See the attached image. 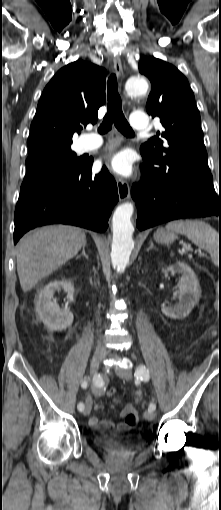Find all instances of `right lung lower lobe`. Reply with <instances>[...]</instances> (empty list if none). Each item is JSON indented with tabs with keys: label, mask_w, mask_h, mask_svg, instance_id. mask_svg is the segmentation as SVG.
<instances>
[{
	"label": "right lung lower lobe",
	"mask_w": 221,
	"mask_h": 510,
	"mask_svg": "<svg viewBox=\"0 0 221 510\" xmlns=\"http://www.w3.org/2000/svg\"><path fill=\"white\" fill-rule=\"evenodd\" d=\"M92 160L72 178L40 185L18 201L14 215V243L38 226L63 223L104 232L119 197L106 167L92 174Z\"/></svg>",
	"instance_id": "obj_1"
}]
</instances>
